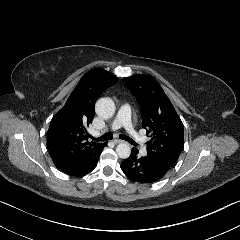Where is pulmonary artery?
<instances>
[{"mask_svg": "<svg viewBox=\"0 0 240 240\" xmlns=\"http://www.w3.org/2000/svg\"><path fill=\"white\" fill-rule=\"evenodd\" d=\"M129 117H130V104L128 102H125L123 104V110H121L120 114L117 115V118L114 120V123L111 125V128L113 130H116L117 128H121L124 125L127 132L130 134L131 138L140 141L138 143V147L140 149H143L145 147L144 142L148 139V136L146 134L141 135L140 133H137Z\"/></svg>", "mask_w": 240, "mask_h": 240, "instance_id": "1", "label": "pulmonary artery"}]
</instances>
